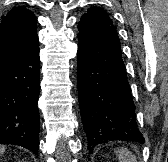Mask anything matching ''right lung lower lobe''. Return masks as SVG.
Wrapping results in <instances>:
<instances>
[{"instance_id":"obj_1","label":"right lung lower lobe","mask_w":168,"mask_h":162,"mask_svg":"<svg viewBox=\"0 0 168 162\" xmlns=\"http://www.w3.org/2000/svg\"><path fill=\"white\" fill-rule=\"evenodd\" d=\"M39 47L0 66V143L39 147Z\"/></svg>"}]
</instances>
